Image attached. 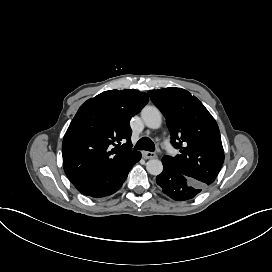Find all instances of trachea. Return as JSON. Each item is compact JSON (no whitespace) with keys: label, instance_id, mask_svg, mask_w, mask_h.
Masks as SVG:
<instances>
[{"label":"trachea","instance_id":"trachea-1","mask_svg":"<svg viewBox=\"0 0 272 272\" xmlns=\"http://www.w3.org/2000/svg\"><path fill=\"white\" fill-rule=\"evenodd\" d=\"M134 149L153 152L155 151V145L149 138L143 137L137 142Z\"/></svg>","mask_w":272,"mask_h":272}]
</instances>
